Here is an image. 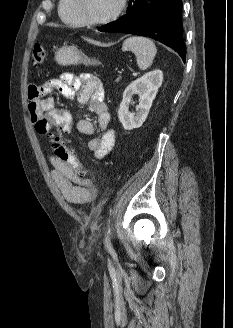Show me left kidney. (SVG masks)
Wrapping results in <instances>:
<instances>
[{"instance_id": "obj_1", "label": "left kidney", "mask_w": 233, "mask_h": 328, "mask_svg": "<svg viewBox=\"0 0 233 328\" xmlns=\"http://www.w3.org/2000/svg\"><path fill=\"white\" fill-rule=\"evenodd\" d=\"M162 81L163 72L155 69L136 79L125 89L118 110L119 121L125 130L139 128L145 122ZM134 94L139 95L136 113L129 111Z\"/></svg>"}]
</instances>
